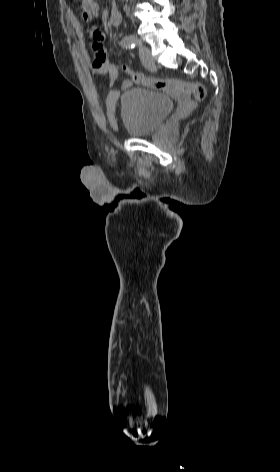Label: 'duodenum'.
I'll use <instances>...</instances> for the list:
<instances>
[{"mask_svg": "<svg viewBox=\"0 0 280 472\" xmlns=\"http://www.w3.org/2000/svg\"><path fill=\"white\" fill-rule=\"evenodd\" d=\"M122 21V15L121 13L113 8L111 11H110V14H109V23L111 26H118Z\"/></svg>", "mask_w": 280, "mask_h": 472, "instance_id": "410a0bca", "label": "duodenum"}]
</instances>
